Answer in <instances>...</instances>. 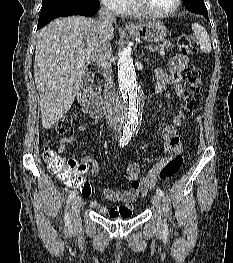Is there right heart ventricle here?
I'll list each match as a JSON object with an SVG mask.
<instances>
[{
	"label": "right heart ventricle",
	"instance_id": "1",
	"mask_svg": "<svg viewBox=\"0 0 233 263\" xmlns=\"http://www.w3.org/2000/svg\"><path fill=\"white\" fill-rule=\"evenodd\" d=\"M125 14H133V13H137L136 9L134 8V6L131 4V2L129 3L126 11L124 12Z\"/></svg>",
	"mask_w": 233,
	"mask_h": 263
}]
</instances>
